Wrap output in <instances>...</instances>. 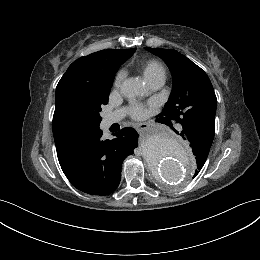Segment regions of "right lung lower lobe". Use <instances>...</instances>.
Wrapping results in <instances>:
<instances>
[{"label": "right lung lower lobe", "mask_w": 260, "mask_h": 260, "mask_svg": "<svg viewBox=\"0 0 260 260\" xmlns=\"http://www.w3.org/2000/svg\"><path fill=\"white\" fill-rule=\"evenodd\" d=\"M103 140L99 127L55 141L60 166L78 190L90 195L112 193L121 180L123 160L138 146V133L126 127Z\"/></svg>", "instance_id": "obj_1"}]
</instances>
